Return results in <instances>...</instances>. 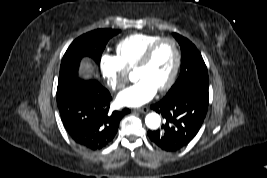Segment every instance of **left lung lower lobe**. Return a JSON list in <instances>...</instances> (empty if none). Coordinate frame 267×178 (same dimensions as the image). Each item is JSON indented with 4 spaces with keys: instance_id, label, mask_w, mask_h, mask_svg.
Listing matches in <instances>:
<instances>
[{
    "instance_id": "0a47b994",
    "label": "left lung lower lobe",
    "mask_w": 267,
    "mask_h": 178,
    "mask_svg": "<svg viewBox=\"0 0 267 178\" xmlns=\"http://www.w3.org/2000/svg\"><path fill=\"white\" fill-rule=\"evenodd\" d=\"M209 93L198 87H188L165 96L151 106L165 119L160 129L148 131L152 142L165 151L186 146L198 133L208 109Z\"/></svg>"
}]
</instances>
